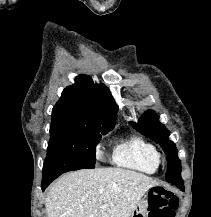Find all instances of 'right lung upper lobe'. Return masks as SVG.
I'll return each mask as SVG.
<instances>
[{
	"instance_id": "right-lung-upper-lobe-1",
	"label": "right lung upper lobe",
	"mask_w": 211,
	"mask_h": 217,
	"mask_svg": "<svg viewBox=\"0 0 211 217\" xmlns=\"http://www.w3.org/2000/svg\"><path fill=\"white\" fill-rule=\"evenodd\" d=\"M117 106L109 89L102 83L94 84L86 75L75 78V84L65 88L53 107L52 122L95 124L113 128Z\"/></svg>"
}]
</instances>
